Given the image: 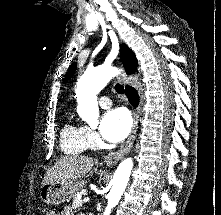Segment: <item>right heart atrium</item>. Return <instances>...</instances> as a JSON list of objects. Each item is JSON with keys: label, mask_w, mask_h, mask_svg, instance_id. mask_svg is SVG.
<instances>
[{"label": "right heart atrium", "mask_w": 221, "mask_h": 215, "mask_svg": "<svg viewBox=\"0 0 221 215\" xmlns=\"http://www.w3.org/2000/svg\"><path fill=\"white\" fill-rule=\"evenodd\" d=\"M83 131H84V137L86 140L87 147L88 148L96 147L99 143V138H98L97 133L93 129L87 126H83Z\"/></svg>", "instance_id": "right-heart-atrium-1"}]
</instances>
